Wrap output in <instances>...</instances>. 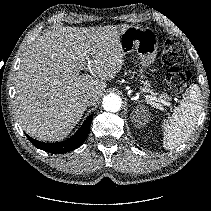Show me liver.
Listing matches in <instances>:
<instances>
[{"label":"liver","mask_w":211,"mask_h":211,"mask_svg":"<svg viewBox=\"0 0 211 211\" xmlns=\"http://www.w3.org/2000/svg\"><path fill=\"white\" fill-rule=\"evenodd\" d=\"M127 27H56L36 39L15 77V114L28 135L51 142L71 133L90 106L81 97L92 95L94 105L122 68ZM85 69L92 75H79Z\"/></svg>","instance_id":"1"}]
</instances>
